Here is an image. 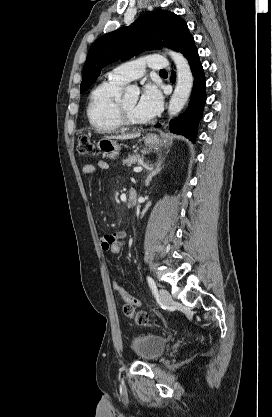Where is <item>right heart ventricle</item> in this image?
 Returning <instances> with one entry per match:
<instances>
[{
	"label": "right heart ventricle",
	"instance_id": "right-heart-ventricle-1",
	"mask_svg": "<svg viewBox=\"0 0 272 417\" xmlns=\"http://www.w3.org/2000/svg\"><path fill=\"white\" fill-rule=\"evenodd\" d=\"M123 84L108 77L91 92L87 106L90 125L99 133L112 134L121 130L117 104Z\"/></svg>",
	"mask_w": 272,
	"mask_h": 417
}]
</instances>
